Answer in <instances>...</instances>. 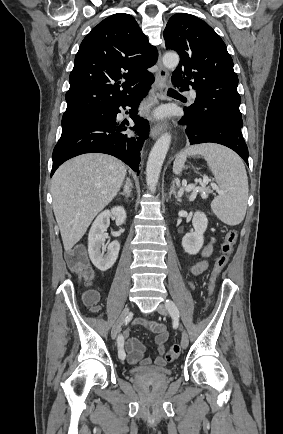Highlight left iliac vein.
I'll return each mask as SVG.
<instances>
[{
	"label": "left iliac vein",
	"instance_id": "obj_1",
	"mask_svg": "<svg viewBox=\"0 0 283 434\" xmlns=\"http://www.w3.org/2000/svg\"><path fill=\"white\" fill-rule=\"evenodd\" d=\"M157 311L158 313H160L161 315H168V311L167 308L164 304H160L157 307ZM189 343V338H188V334L186 332V330L182 329V337H181V347L183 349H186Z\"/></svg>",
	"mask_w": 283,
	"mask_h": 434
}]
</instances>
